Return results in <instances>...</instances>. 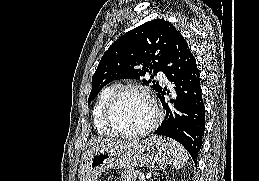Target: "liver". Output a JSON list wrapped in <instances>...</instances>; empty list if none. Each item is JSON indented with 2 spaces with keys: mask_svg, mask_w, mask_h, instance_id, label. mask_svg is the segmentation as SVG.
<instances>
[{
  "mask_svg": "<svg viewBox=\"0 0 259 181\" xmlns=\"http://www.w3.org/2000/svg\"><path fill=\"white\" fill-rule=\"evenodd\" d=\"M129 142H120L118 140H110V139H98L93 143L92 148L99 147V148H111V147H123L126 144L131 143Z\"/></svg>",
  "mask_w": 259,
  "mask_h": 181,
  "instance_id": "6515ba94",
  "label": "liver"
}]
</instances>
